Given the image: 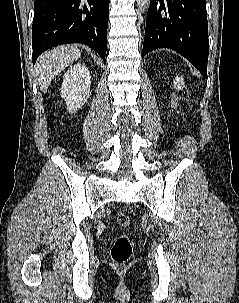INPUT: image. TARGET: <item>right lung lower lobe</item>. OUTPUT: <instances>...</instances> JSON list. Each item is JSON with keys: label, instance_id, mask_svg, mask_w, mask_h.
<instances>
[{"label": "right lung lower lobe", "instance_id": "98d812e1", "mask_svg": "<svg viewBox=\"0 0 239 303\" xmlns=\"http://www.w3.org/2000/svg\"><path fill=\"white\" fill-rule=\"evenodd\" d=\"M110 0H35L32 25L33 64L47 49L82 43L106 56Z\"/></svg>", "mask_w": 239, "mask_h": 303}]
</instances>
